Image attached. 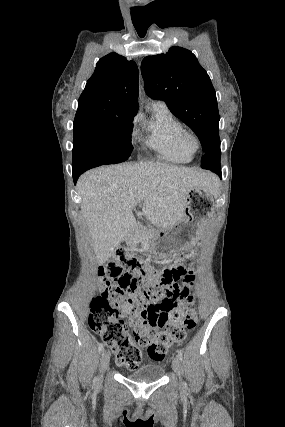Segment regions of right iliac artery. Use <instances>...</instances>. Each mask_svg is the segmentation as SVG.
<instances>
[{"mask_svg": "<svg viewBox=\"0 0 285 427\" xmlns=\"http://www.w3.org/2000/svg\"><path fill=\"white\" fill-rule=\"evenodd\" d=\"M103 349H104V344L100 343L99 346H98V352H99V354L103 351ZM97 379L98 378H96V381H97Z\"/></svg>", "mask_w": 285, "mask_h": 427, "instance_id": "1", "label": "right iliac artery"}]
</instances>
